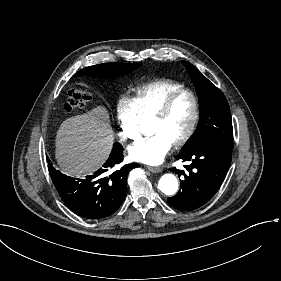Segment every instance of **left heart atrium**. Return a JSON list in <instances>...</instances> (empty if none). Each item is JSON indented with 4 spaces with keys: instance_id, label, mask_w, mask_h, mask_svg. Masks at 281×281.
<instances>
[{
    "instance_id": "1",
    "label": "left heart atrium",
    "mask_w": 281,
    "mask_h": 281,
    "mask_svg": "<svg viewBox=\"0 0 281 281\" xmlns=\"http://www.w3.org/2000/svg\"><path fill=\"white\" fill-rule=\"evenodd\" d=\"M172 147V142L161 133H154L138 141L130 149L133 160L156 165L161 163Z\"/></svg>"
}]
</instances>
